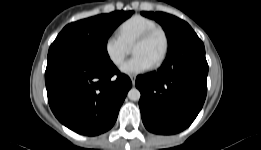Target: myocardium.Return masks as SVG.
<instances>
[{"instance_id": "f54148a6", "label": "myocardium", "mask_w": 261, "mask_h": 150, "mask_svg": "<svg viewBox=\"0 0 261 150\" xmlns=\"http://www.w3.org/2000/svg\"><path fill=\"white\" fill-rule=\"evenodd\" d=\"M157 33H161L163 36L164 48H163V51H162L160 57L157 59V61L155 63L152 64L153 68H157V67L161 66L164 63L165 59L167 58V55L169 52L170 41H169V36H168V33L166 32V30L161 26L153 27V28L147 30L146 32H144L142 35H140L132 45V49H133L135 46L147 42Z\"/></svg>"}]
</instances>
